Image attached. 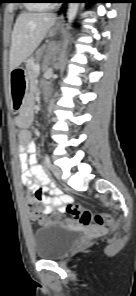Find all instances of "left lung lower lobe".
<instances>
[{
  "instance_id": "left-lung-lower-lobe-1",
  "label": "left lung lower lobe",
  "mask_w": 136,
  "mask_h": 296,
  "mask_svg": "<svg viewBox=\"0 0 136 296\" xmlns=\"http://www.w3.org/2000/svg\"><path fill=\"white\" fill-rule=\"evenodd\" d=\"M80 2V3H98L97 0H66L64 3L70 2Z\"/></svg>"
}]
</instances>
